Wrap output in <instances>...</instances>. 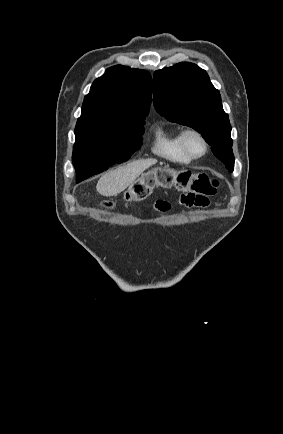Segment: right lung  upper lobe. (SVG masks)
<instances>
[{"instance_id":"right-lung-upper-lobe-1","label":"right lung upper lobe","mask_w":283,"mask_h":434,"mask_svg":"<svg viewBox=\"0 0 283 434\" xmlns=\"http://www.w3.org/2000/svg\"><path fill=\"white\" fill-rule=\"evenodd\" d=\"M152 97V78L145 70L123 65L108 68L85 96L76 125H117L145 120Z\"/></svg>"}]
</instances>
